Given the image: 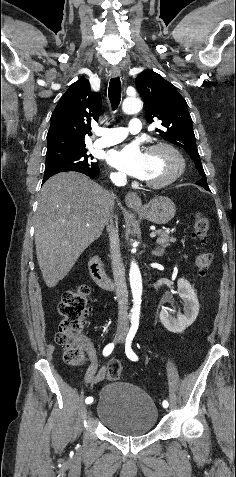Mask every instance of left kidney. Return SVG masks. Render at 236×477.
<instances>
[{"mask_svg":"<svg viewBox=\"0 0 236 477\" xmlns=\"http://www.w3.org/2000/svg\"><path fill=\"white\" fill-rule=\"evenodd\" d=\"M178 293L184 301V314H179L175 318L166 309H162L160 312L162 324L173 333L183 332L196 320L199 313L197 295L190 283L184 278L178 280Z\"/></svg>","mask_w":236,"mask_h":477,"instance_id":"obj_1","label":"left kidney"}]
</instances>
